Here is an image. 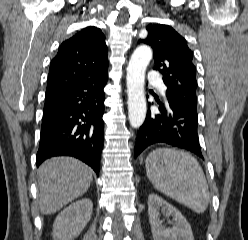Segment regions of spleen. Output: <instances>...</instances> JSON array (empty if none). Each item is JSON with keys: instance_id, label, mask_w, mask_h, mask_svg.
I'll return each instance as SVG.
<instances>
[{"instance_id": "1", "label": "spleen", "mask_w": 248, "mask_h": 240, "mask_svg": "<svg viewBox=\"0 0 248 240\" xmlns=\"http://www.w3.org/2000/svg\"><path fill=\"white\" fill-rule=\"evenodd\" d=\"M148 179L166 196L202 214L210 193L201 165L186 151L158 148L145 161Z\"/></svg>"}]
</instances>
